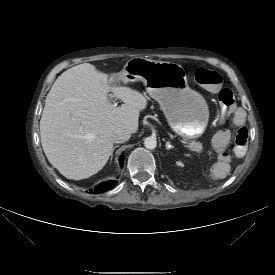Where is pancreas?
I'll return each mask as SVG.
<instances>
[{
    "label": "pancreas",
    "mask_w": 275,
    "mask_h": 275,
    "mask_svg": "<svg viewBox=\"0 0 275 275\" xmlns=\"http://www.w3.org/2000/svg\"><path fill=\"white\" fill-rule=\"evenodd\" d=\"M199 146H201V144L198 143V142L192 141V142L190 143V147H191L193 150H196V147H199Z\"/></svg>",
    "instance_id": "obj_1"
}]
</instances>
